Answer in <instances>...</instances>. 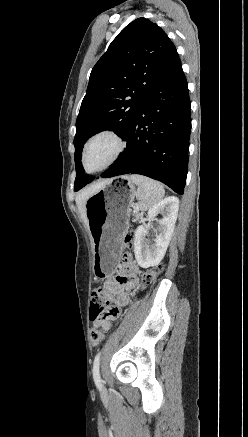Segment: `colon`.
<instances>
[{"label": "colon", "mask_w": 248, "mask_h": 437, "mask_svg": "<svg viewBox=\"0 0 248 437\" xmlns=\"http://www.w3.org/2000/svg\"><path fill=\"white\" fill-rule=\"evenodd\" d=\"M133 233L129 232L125 235L123 243L126 247H131L133 243ZM163 270L162 265H158L150 270L145 271L142 274V280L144 285H149L153 282L155 277L159 275ZM113 311V308L106 300V292L102 287H95L91 295V305L89 317L93 323V327L90 332V340L93 345H99L104 340V332L101 327V322L107 318Z\"/></svg>", "instance_id": "5ec220e1"}]
</instances>
